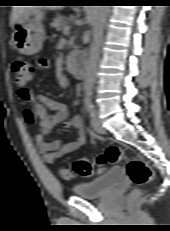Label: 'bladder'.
<instances>
[{
    "instance_id": "obj_1",
    "label": "bladder",
    "mask_w": 170,
    "mask_h": 231,
    "mask_svg": "<svg viewBox=\"0 0 170 231\" xmlns=\"http://www.w3.org/2000/svg\"><path fill=\"white\" fill-rule=\"evenodd\" d=\"M125 177L126 172L123 167H114L101 176L74 186L72 192L82 198H100L121 184Z\"/></svg>"
}]
</instances>
